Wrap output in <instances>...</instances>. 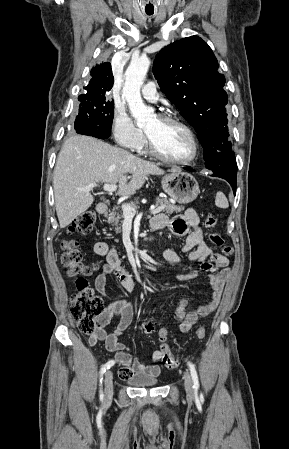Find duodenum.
<instances>
[{"instance_id":"obj_1","label":"duodenum","mask_w":289,"mask_h":449,"mask_svg":"<svg viewBox=\"0 0 289 449\" xmlns=\"http://www.w3.org/2000/svg\"><path fill=\"white\" fill-rule=\"evenodd\" d=\"M109 212H110V210H109L108 206L102 205V206L99 207V213H100V214H102V215H107V214H109ZM152 230H153V231L157 230V227H153V226H152ZM148 240H150V241L153 240V237L150 236V237L148 238Z\"/></svg>"}]
</instances>
